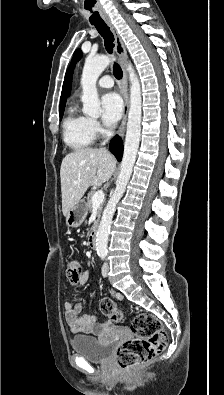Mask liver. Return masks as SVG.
<instances>
[{
    "label": "liver",
    "instance_id": "liver-1",
    "mask_svg": "<svg viewBox=\"0 0 224 395\" xmlns=\"http://www.w3.org/2000/svg\"><path fill=\"white\" fill-rule=\"evenodd\" d=\"M115 167L116 159L104 148L77 149L67 154L60 169L63 215L81 200L90 186L107 182Z\"/></svg>",
    "mask_w": 224,
    "mask_h": 395
}]
</instances>
